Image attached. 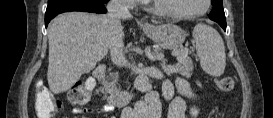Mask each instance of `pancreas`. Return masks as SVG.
<instances>
[{
	"mask_svg": "<svg viewBox=\"0 0 273 118\" xmlns=\"http://www.w3.org/2000/svg\"><path fill=\"white\" fill-rule=\"evenodd\" d=\"M187 48L181 49L179 50L178 54H177V61L178 63L171 66H166L165 65V59L163 54L159 53L158 50L156 51V59L160 60L161 63V67L165 70V72H167L168 74H172V73H179L185 77H190L191 76V72L193 70V63L191 58L188 56L189 50H185ZM118 79H119V74L118 72L115 73H111L109 78L106 80V87L107 89L112 92V93H116L118 91L116 85L118 84Z\"/></svg>",
	"mask_w": 273,
	"mask_h": 118,
	"instance_id": "pancreas-1",
	"label": "pancreas"
}]
</instances>
